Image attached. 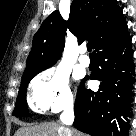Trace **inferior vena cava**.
<instances>
[{
    "label": "inferior vena cava",
    "instance_id": "obj_1",
    "mask_svg": "<svg viewBox=\"0 0 136 136\" xmlns=\"http://www.w3.org/2000/svg\"><path fill=\"white\" fill-rule=\"evenodd\" d=\"M61 121L65 125H71L74 121V110L73 106L69 105L65 108L64 112L60 117Z\"/></svg>",
    "mask_w": 136,
    "mask_h": 136
}]
</instances>
